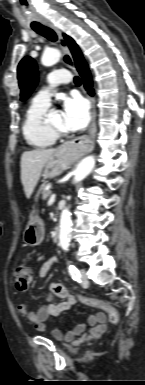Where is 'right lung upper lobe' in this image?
<instances>
[{
	"instance_id": "obj_1",
	"label": "right lung upper lobe",
	"mask_w": 145,
	"mask_h": 385,
	"mask_svg": "<svg viewBox=\"0 0 145 385\" xmlns=\"http://www.w3.org/2000/svg\"><path fill=\"white\" fill-rule=\"evenodd\" d=\"M63 36L66 40L68 47L70 48V50L73 54L76 67L79 68L81 65L85 64V61L81 55V52H80L77 44L74 42V40L71 37L67 36L66 34H63Z\"/></svg>"
}]
</instances>
